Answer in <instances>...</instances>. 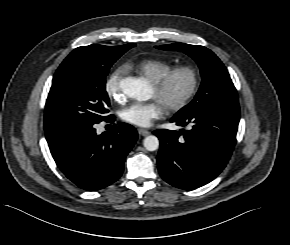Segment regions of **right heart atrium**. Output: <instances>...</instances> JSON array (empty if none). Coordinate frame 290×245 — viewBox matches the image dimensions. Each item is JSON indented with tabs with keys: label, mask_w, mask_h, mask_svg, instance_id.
<instances>
[{
	"label": "right heart atrium",
	"mask_w": 290,
	"mask_h": 245,
	"mask_svg": "<svg viewBox=\"0 0 290 245\" xmlns=\"http://www.w3.org/2000/svg\"><path fill=\"white\" fill-rule=\"evenodd\" d=\"M126 70L124 67H118L111 72L105 83V91L110 99L115 102H123L126 95L122 89L121 80Z\"/></svg>",
	"instance_id": "d8ad5b80"
}]
</instances>
